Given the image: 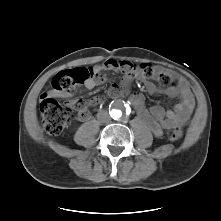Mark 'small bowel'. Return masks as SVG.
Listing matches in <instances>:
<instances>
[{
  "mask_svg": "<svg viewBox=\"0 0 221 221\" xmlns=\"http://www.w3.org/2000/svg\"><path fill=\"white\" fill-rule=\"evenodd\" d=\"M94 76L84 82V87L87 90H92L97 86L103 84L107 78L103 75L105 71H117L124 73V77L120 85H113L109 91L110 97H117L121 95H130V102L137 111L139 118L148 126L155 136H162L165 131L171 129H181L188 122L194 107V98L189 87L181 83L178 86H173L160 90L152 82H146V90L153 94L157 92H164L171 97L178 98V103L171 110H166L161 106H153L147 108L144 97L139 93H132L131 81L133 76L143 78V75L132 69V64L128 61H118L109 59L102 64L93 67ZM120 90L116 96L115 91ZM55 96L69 99L67 105L75 109L78 116L86 119L90 116L89 108L99 105L103 99L95 97L90 100L74 99V91L62 92L54 94Z\"/></svg>",
  "mask_w": 221,
  "mask_h": 221,
  "instance_id": "c3829d8e",
  "label": "small bowel"
}]
</instances>
